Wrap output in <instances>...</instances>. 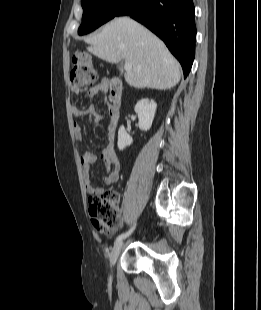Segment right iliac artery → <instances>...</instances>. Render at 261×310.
Returning <instances> with one entry per match:
<instances>
[{"instance_id":"82829eb1","label":"right iliac artery","mask_w":261,"mask_h":310,"mask_svg":"<svg viewBox=\"0 0 261 310\" xmlns=\"http://www.w3.org/2000/svg\"><path fill=\"white\" fill-rule=\"evenodd\" d=\"M134 229H135V224H134V226H133L128 232L120 234V235L116 238V242L121 241L122 239H124V238H126L127 236H129V235L133 232Z\"/></svg>"}]
</instances>
